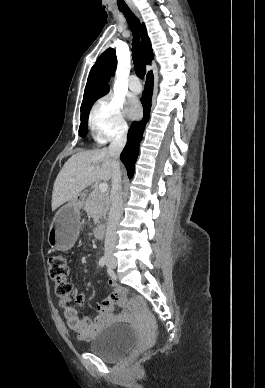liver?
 I'll return each instance as SVG.
<instances>
[{"instance_id": "liver-1", "label": "liver", "mask_w": 265, "mask_h": 388, "mask_svg": "<svg viewBox=\"0 0 265 388\" xmlns=\"http://www.w3.org/2000/svg\"><path fill=\"white\" fill-rule=\"evenodd\" d=\"M93 166V170H88ZM112 176V160L107 148L73 154L60 170L53 186L52 212L77 198L78 194L97 180L108 182Z\"/></svg>"}]
</instances>
